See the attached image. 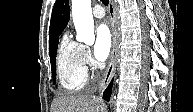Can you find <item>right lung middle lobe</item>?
<instances>
[{"label": "right lung middle lobe", "instance_id": "right-lung-middle-lobe-1", "mask_svg": "<svg viewBox=\"0 0 193 112\" xmlns=\"http://www.w3.org/2000/svg\"><path fill=\"white\" fill-rule=\"evenodd\" d=\"M58 42H59V38L55 41L54 45L49 48L51 71H52V75H53L54 84L56 83L55 64H56V52H57Z\"/></svg>", "mask_w": 193, "mask_h": 112}]
</instances>
